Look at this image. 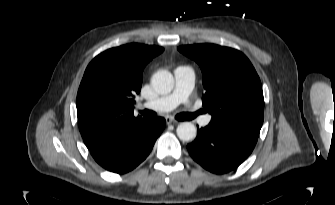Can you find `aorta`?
Here are the masks:
<instances>
[{"instance_id": "762f6f07", "label": "aorta", "mask_w": 335, "mask_h": 205, "mask_svg": "<svg viewBox=\"0 0 335 205\" xmlns=\"http://www.w3.org/2000/svg\"><path fill=\"white\" fill-rule=\"evenodd\" d=\"M153 89L159 94H168L174 87L173 75L167 70L156 72L151 78ZM180 140L189 142L196 138L197 129L191 122L180 123L176 129Z\"/></svg>"}]
</instances>
